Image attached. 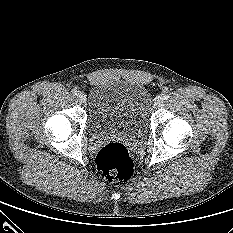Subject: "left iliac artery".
I'll use <instances>...</instances> for the list:
<instances>
[{
    "label": "left iliac artery",
    "mask_w": 233,
    "mask_h": 233,
    "mask_svg": "<svg viewBox=\"0 0 233 233\" xmlns=\"http://www.w3.org/2000/svg\"><path fill=\"white\" fill-rule=\"evenodd\" d=\"M169 97H170L169 94H163V99L164 100H167Z\"/></svg>",
    "instance_id": "44dca946"
}]
</instances>
